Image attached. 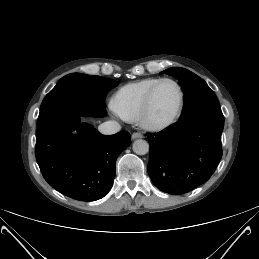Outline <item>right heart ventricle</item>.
<instances>
[{
    "mask_svg": "<svg viewBox=\"0 0 259 259\" xmlns=\"http://www.w3.org/2000/svg\"><path fill=\"white\" fill-rule=\"evenodd\" d=\"M159 79L145 78L122 86L113 100L118 115L127 121L138 120L148 91Z\"/></svg>",
    "mask_w": 259,
    "mask_h": 259,
    "instance_id": "right-heart-ventricle-1",
    "label": "right heart ventricle"
}]
</instances>
